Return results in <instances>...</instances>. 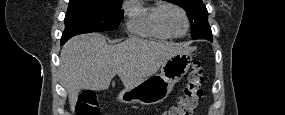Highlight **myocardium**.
<instances>
[{
  "mask_svg": "<svg viewBox=\"0 0 285 115\" xmlns=\"http://www.w3.org/2000/svg\"><path fill=\"white\" fill-rule=\"evenodd\" d=\"M171 8L179 10L181 12L183 18H184L185 30L181 34H174V33H172L169 30V28L166 25V23H165L164 14H165L166 10L171 9ZM159 22H160L162 28L165 30V32L167 34H169L171 37H182V36H184L187 33V31L189 29V25H190L189 24L188 14L185 11V9L180 7V6H178V5H176V4H171V3H167V4H164V5L161 6L160 11H159Z\"/></svg>",
  "mask_w": 285,
  "mask_h": 115,
  "instance_id": "1",
  "label": "myocardium"
}]
</instances>
